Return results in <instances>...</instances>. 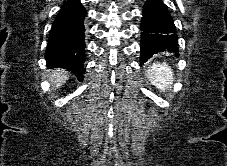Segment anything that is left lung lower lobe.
<instances>
[{"label":"left lung lower lobe","mask_w":227,"mask_h":166,"mask_svg":"<svg viewBox=\"0 0 227 166\" xmlns=\"http://www.w3.org/2000/svg\"><path fill=\"white\" fill-rule=\"evenodd\" d=\"M141 63L153 54L169 50L178 52V38L172 17L162 0H147L143 7Z\"/></svg>","instance_id":"obj_1"}]
</instances>
